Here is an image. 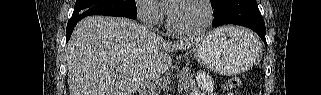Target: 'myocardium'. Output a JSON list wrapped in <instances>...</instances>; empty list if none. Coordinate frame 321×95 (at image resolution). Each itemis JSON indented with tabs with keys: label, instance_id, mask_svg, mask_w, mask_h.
<instances>
[{
	"label": "myocardium",
	"instance_id": "f54148a6",
	"mask_svg": "<svg viewBox=\"0 0 321 95\" xmlns=\"http://www.w3.org/2000/svg\"><path fill=\"white\" fill-rule=\"evenodd\" d=\"M197 2L200 3L205 11V20L204 23L202 24L201 27L194 29V30H180L174 27L171 17H170V11L174 7L170 6L168 8V15H167V20H166V27L167 29L173 33L174 35L181 36V37H190V36H197L205 32V30L209 27V25L212 23L213 17H214V12L212 5L209 0H179L176 2L177 6L178 4L185 3V2Z\"/></svg>",
	"mask_w": 321,
	"mask_h": 95
}]
</instances>
